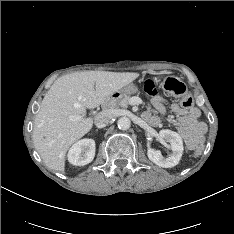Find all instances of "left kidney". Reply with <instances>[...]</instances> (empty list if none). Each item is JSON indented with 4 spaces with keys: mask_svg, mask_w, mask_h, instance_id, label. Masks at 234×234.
<instances>
[{
    "mask_svg": "<svg viewBox=\"0 0 234 234\" xmlns=\"http://www.w3.org/2000/svg\"><path fill=\"white\" fill-rule=\"evenodd\" d=\"M159 136L170 142L172 153L167 157H164L159 150L148 148V158L160 167L171 168L176 166L179 163L184 150L182 138L178 133L168 129L161 130Z\"/></svg>",
    "mask_w": 234,
    "mask_h": 234,
    "instance_id": "obj_1",
    "label": "left kidney"
}]
</instances>
